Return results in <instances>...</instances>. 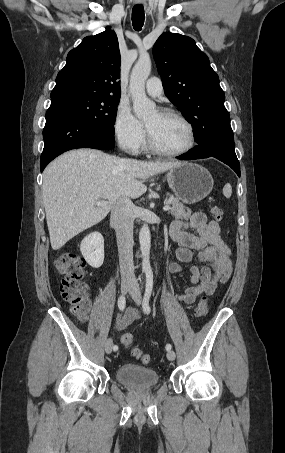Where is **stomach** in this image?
<instances>
[{
    "label": "stomach",
    "instance_id": "0dacf381",
    "mask_svg": "<svg viewBox=\"0 0 285 453\" xmlns=\"http://www.w3.org/2000/svg\"><path fill=\"white\" fill-rule=\"evenodd\" d=\"M167 182L177 199L195 204L206 198L213 188V178L203 166L181 162L167 172Z\"/></svg>",
    "mask_w": 285,
    "mask_h": 453
}]
</instances>
